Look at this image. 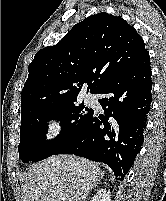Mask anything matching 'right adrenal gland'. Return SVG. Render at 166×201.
Segmentation results:
<instances>
[{
	"label": "right adrenal gland",
	"instance_id": "right-adrenal-gland-1",
	"mask_svg": "<svg viewBox=\"0 0 166 201\" xmlns=\"http://www.w3.org/2000/svg\"><path fill=\"white\" fill-rule=\"evenodd\" d=\"M102 177H103V174L101 175V178H102ZM101 178H100V179H101ZM100 179L96 182V184L93 186V188L96 187V186L100 183Z\"/></svg>",
	"mask_w": 166,
	"mask_h": 201
}]
</instances>
